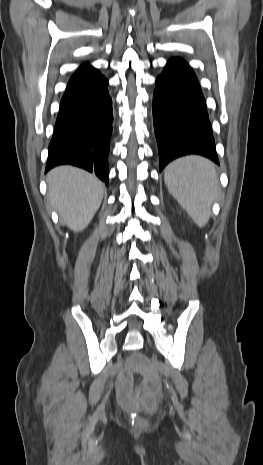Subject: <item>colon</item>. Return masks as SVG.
Instances as JSON below:
<instances>
[{"label": "colon", "instance_id": "colon-1", "mask_svg": "<svg viewBox=\"0 0 263 465\" xmlns=\"http://www.w3.org/2000/svg\"><path fill=\"white\" fill-rule=\"evenodd\" d=\"M159 387L155 380L149 379L145 382L143 387L138 391V401L145 412H152L156 406V396ZM138 423L144 424L143 419H138Z\"/></svg>", "mask_w": 263, "mask_h": 465}]
</instances>
